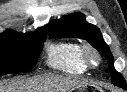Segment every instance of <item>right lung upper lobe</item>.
Returning <instances> with one entry per match:
<instances>
[{"instance_id": "right-lung-upper-lobe-1", "label": "right lung upper lobe", "mask_w": 127, "mask_h": 92, "mask_svg": "<svg viewBox=\"0 0 127 92\" xmlns=\"http://www.w3.org/2000/svg\"><path fill=\"white\" fill-rule=\"evenodd\" d=\"M48 29H49V27H48V25H46V26L40 28L37 32L47 33ZM33 34H35V33H33ZM33 34H29V33L23 34V33L12 32V31L9 30V31H6V32L0 34V37L23 38V37H27V36H30V35H33Z\"/></svg>"}]
</instances>
